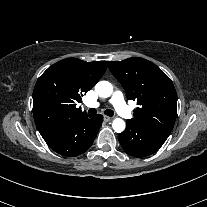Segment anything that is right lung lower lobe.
I'll list each match as a JSON object with an SVG mask.
<instances>
[{"instance_id": "1", "label": "right lung lower lobe", "mask_w": 207, "mask_h": 207, "mask_svg": "<svg viewBox=\"0 0 207 207\" xmlns=\"http://www.w3.org/2000/svg\"><path fill=\"white\" fill-rule=\"evenodd\" d=\"M102 121L103 116L100 114L75 119L61 125L43 138L58 154L75 157L90 148Z\"/></svg>"}]
</instances>
